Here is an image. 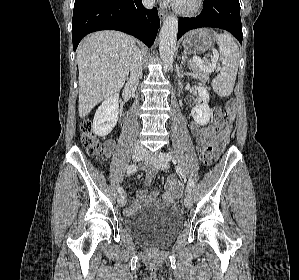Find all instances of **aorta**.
Masks as SVG:
<instances>
[{
    "label": "aorta",
    "mask_w": 299,
    "mask_h": 280,
    "mask_svg": "<svg viewBox=\"0 0 299 280\" xmlns=\"http://www.w3.org/2000/svg\"><path fill=\"white\" fill-rule=\"evenodd\" d=\"M178 19L169 16L163 22L159 35V53L165 70H170L176 50Z\"/></svg>",
    "instance_id": "1"
}]
</instances>
